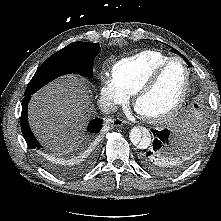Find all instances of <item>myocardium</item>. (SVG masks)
<instances>
[{"label": "myocardium", "mask_w": 221, "mask_h": 221, "mask_svg": "<svg viewBox=\"0 0 221 221\" xmlns=\"http://www.w3.org/2000/svg\"><path fill=\"white\" fill-rule=\"evenodd\" d=\"M175 61L181 62L185 68L186 81H185V86L182 91V94L179 97V99L177 100V102L168 111H166L164 113H161L158 115H153V116L141 114L143 116V118L150 123L157 124V123H163V122L170 120L181 110L184 103L186 102L188 95L190 93L191 84H192L191 71H190V68H189L186 60L183 59L182 57H179V56L170 57L168 60H166L164 63H162L159 67H157L152 72V74L138 87V89L133 94V105H134L135 109L138 111L137 105H138L139 100L155 87V85L157 84V82L161 78L164 71Z\"/></svg>", "instance_id": "1"}]
</instances>
